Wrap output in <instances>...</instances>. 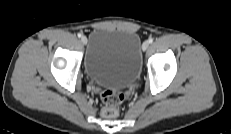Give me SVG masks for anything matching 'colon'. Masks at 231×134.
Here are the masks:
<instances>
[{
  "label": "colon",
  "instance_id": "5ec220e1",
  "mask_svg": "<svg viewBox=\"0 0 231 134\" xmlns=\"http://www.w3.org/2000/svg\"><path fill=\"white\" fill-rule=\"evenodd\" d=\"M101 114L106 118L116 117L124 95L114 90H106L101 94Z\"/></svg>",
  "mask_w": 231,
  "mask_h": 134
}]
</instances>
